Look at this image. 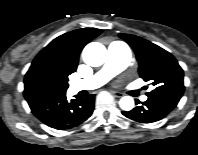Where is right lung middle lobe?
<instances>
[{
	"mask_svg": "<svg viewBox=\"0 0 198 155\" xmlns=\"http://www.w3.org/2000/svg\"><path fill=\"white\" fill-rule=\"evenodd\" d=\"M39 82L46 94L65 93L68 88L67 76L58 77L46 74L40 78Z\"/></svg>",
	"mask_w": 198,
	"mask_h": 155,
	"instance_id": "right-lung-middle-lobe-1",
	"label": "right lung middle lobe"
}]
</instances>
